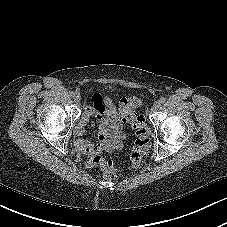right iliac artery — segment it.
Wrapping results in <instances>:
<instances>
[{
  "label": "right iliac artery",
  "instance_id": "right-iliac-artery-1",
  "mask_svg": "<svg viewBox=\"0 0 227 227\" xmlns=\"http://www.w3.org/2000/svg\"><path fill=\"white\" fill-rule=\"evenodd\" d=\"M69 94H70L71 97L75 96V92H73V91H71Z\"/></svg>",
  "mask_w": 227,
  "mask_h": 227
}]
</instances>
